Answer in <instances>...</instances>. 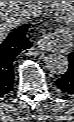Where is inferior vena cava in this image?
Instances as JSON below:
<instances>
[{
  "instance_id": "obj_1",
  "label": "inferior vena cava",
  "mask_w": 74,
  "mask_h": 122,
  "mask_svg": "<svg viewBox=\"0 0 74 122\" xmlns=\"http://www.w3.org/2000/svg\"><path fill=\"white\" fill-rule=\"evenodd\" d=\"M38 14V4L34 3L32 5H27L23 7L20 11V22H26L37 16Z\"/></svg>"
}]
</instances>
